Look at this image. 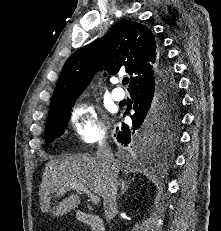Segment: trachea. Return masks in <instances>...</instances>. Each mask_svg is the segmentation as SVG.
<instances>
[{"label": "trachea", "instance_id": "trachea-1", "mask_svg": "<svg viewBox=\"0 0 221 231\" xmlns=\"http://www.w3.org/2000/svg\"><path fill=\"white\" fill-rule=\"evenodd\" d=\"M122 83H123L124 85L128 84V83H129V79H128V78H124L123 81H122Z\"/></svg>", "mask_w": 221, "mask_h": 231}]
</instances>
